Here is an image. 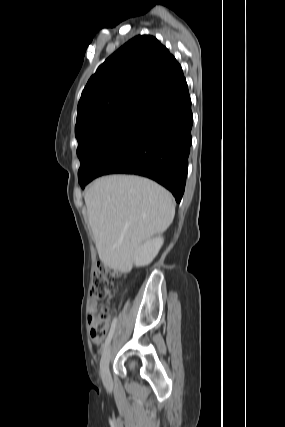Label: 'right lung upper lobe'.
I'll return each mask as SVG.
<instances>
[{
    "mask_svg": "<svg viewBox=\"0 0 285 427\" xmlns=\"http://www.w3.org/2000/svg\"><path fill=\"white\" fill-rule=\"evenodd\" d=\"M183 76L175 57L155 37L132 38L89 79L78 103L75 131L126 106H145Z\"/></svg>",
    "mask_w": 285,
    "mask_h": 427,
    "instance_id": "right-lung-upper-lobe-1",
    "label": "right lung upper lobe"
}]
</instances>
